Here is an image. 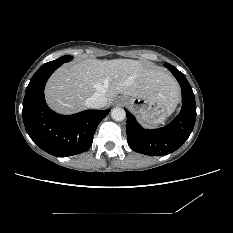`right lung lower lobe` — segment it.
I'll return each mask as SVG.
<instances>
[{
	"instance_id": "98d812e1",
	"label": "right lung lower lobe",
	"mask_w": 233,
	"mask_h": 233,
	"mask_svg": "<svg viewBox=\"0 0 233 233\" xmlns=\"http://www.w3.org/2000/svg\"><path fill=\"white\" fill-rule=\"evenodd\" d=\"M60 64L41 66L31 78L23 100V121L34 143L45 152L67 157L87 151L93 142L98 124L107 110H85L74 115L52 111L44 98V87Z\"/></svg>"
}]
</instances>
